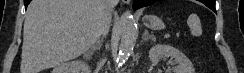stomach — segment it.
Returning <instances> with one entry per match:
<instances>
[{"mask_svg":"<svg viewBox=\"0 0 244 73\" xmlns=\"http://www.w3.org/2000/svg\"><path fill=\"white\" fill-rule=\"evenodd\" d=\"M144 25L152 30H162L165 28L163 21L156 15H146L143 17Z\"/></svg>","mask_w":244,"mask_h":73,"instance_id":"0dacf381","label":"stomach"}]
</instances>
